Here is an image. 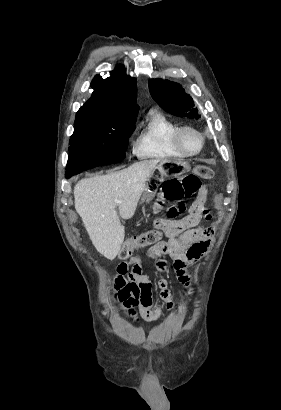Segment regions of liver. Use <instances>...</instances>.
Returning a JSON list of instances; mask_svg holds the SVG:
<instances>
[{"mask_svg": "<svg viewBox=\"0 0 281 410\" xmlns=\"http://www.w3.org/2000/svg\"><path fill=\"white\" fill-rule=\"evenodd\" d=\"M160 161H140L111 174L82 179L75 185V209L92 244L107 259L117 256L125 237L116 209L123 219L133 217L146 181ZM116 200L122 203L116 204Z\"/></svg>", "mask_w": 281, "mask_h": 410, "instance_id": "6515ba94", "label": "liver"}]
</instances>
